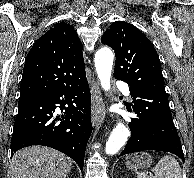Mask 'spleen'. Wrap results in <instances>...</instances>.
I'll return each instance as SVG.
<instances>
[{
    "label": "spleen",
    "mask_w": 194,
    "mask_h": 178,
    "mask_svg": "<svg viewBox=\"0 0 194 178\" xmlns=\"http://www.w3.org/2000/svg\"><path fill=\"white\" fill-rule=\"evenodd\" d=\"M153 175H148L145 172L139 171L137 178H181V169L177 160L166 155L162 157L157 165L152 169Z\"/></svg>",
    "instance_id": "spleen-1"
}]
</instances>
